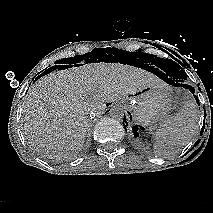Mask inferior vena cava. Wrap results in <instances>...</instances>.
<instances>
[{"instance_id": "602c4592", "label": "inferior vena cava", "mask_w": 213, "mask_h": 213, "mask_svg": "<svg viewBox=\"0 0 213 213\" xmlns=\"http://www.w3.org/2000/svg\"><path fill=\"white\" fill-rule=\"evenodd\" d=\"M96 115H97V112H96L95 110H92V111L90 112V114H89V117H90L91 119H94V118L96 117Z\"/></svg>"}]
</instances>
